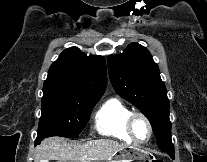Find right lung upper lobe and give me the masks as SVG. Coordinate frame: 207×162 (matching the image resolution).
<instances>
[{
    "mask_svg": "<svg viewBox=\"0 0 207 162\" xmlns=\"http://www.w3.org/2000/svg\"><path fill=\"white\" fill-rule=\"evenodd\" d=\"M106 88L102 56H87L76 47L64 50L51 65L43 91L101 97Z\"/></svg>",
    "mask_w": 207,
    "mask_h": 162,
    "instance_id": "obj_1",
    "label": "right lung upper lobe"
}]
</instances>
